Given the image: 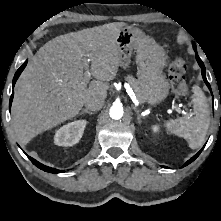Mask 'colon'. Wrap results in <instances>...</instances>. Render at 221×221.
<instances>
[{"instance_id": "obj_1", "label": "colon", "mask_w": 221, "mask_h": 221, "mask_svg": "<svg viewBox=\"0 0 221 221\" xmlns=\"http://www.w3.org/2000/svg\"><path fill=\"white\" fill-rule=\"evenodd\" d=\"M188 71V64L183 58L174 59L168 67V75L172 90L180 95L189 93L185 75Z\"/></svg>"}]
</instances>
